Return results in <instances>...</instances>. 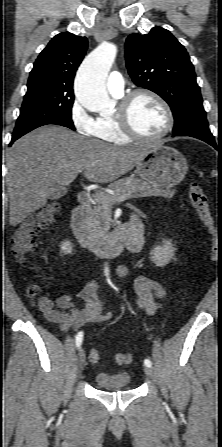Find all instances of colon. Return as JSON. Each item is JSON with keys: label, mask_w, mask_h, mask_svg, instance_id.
<instances>
[{"label": "colon", "mask_w": 222, "mask_h": 447, "mask_svg": "<svg viewBox=\"0 0 222 447\" xmlns=\"http://www.w3.org/2000/svg\"><path fill=\"white\" fill-rule=\"evenodd\" d=\"M189 199L207 232L215 237L216 227L214 218L207 195L201 185L198 183H192L190 185ZM59 210V203L49 204L25 219L19 225L13 235L12 241V253L18 263H23L27 256L34 251L37 246L38 234L52 223ZM28 293L33 298L38 294V288L31 286ZM90 360L92 362L99 360V354L95 350L90 352ZM114 360L117 364H126L130 362L131 357L125 353H118L115 355Z\"/></svg>", "instance_id": "1"}]
</instances>
